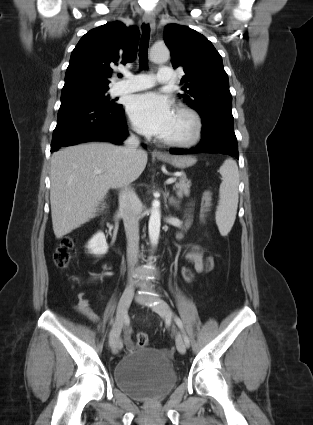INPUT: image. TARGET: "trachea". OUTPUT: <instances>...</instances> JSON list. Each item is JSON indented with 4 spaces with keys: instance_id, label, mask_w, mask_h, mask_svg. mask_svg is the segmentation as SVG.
I'll list each match as a JSON object with an SVG mask.
<instances>
[{
    "instance_id": "trachea-1",
    "label": "trachea",
    "mask_w": 313,
    "mask_h": 425,
    "mask_svg": "<svg viewBox=\"0 0 313 425\" xmlns=\"http://www.w3.org/2000/svg\"><path fill=\"white\" fill-rule=\"evenodd\" d=\"M143 33L141 36L140 46H139V64L142 69L147 68V58H148V46H149V37H150V27L148 24H143ZM122 75L120 74L119 77Z\"/></svg>"
}]
</instances>
